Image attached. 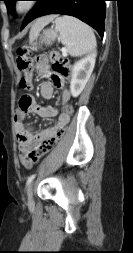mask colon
<instances>
[{
    "mask_svg": "<svg viewBox=\"0 0 133 253\" xmlns=\"http://www.w3.org/2000/svg\"><path fill=\"white\" fill-rule=\"evenodd\" d=\"M48 58V64L52 72L61 77L69 76L71 69L68 64V60L62 56L59 52L55 50H50L46 55ZM17 67L23 76L19 81V87L24 91H30L31 85V75L34 67V59L30 52L26 48H19L17 52ZM64 113L69 117L73 115L74 108L72 105L68 104L64 107ZM65 132V127L59 129L53 136L44 140L35 150L29 154V160L33 163L37 162L41 157L50 152L57 142L62 138Z\"/></svg>",
    "mask_w": 133,
    "mask_h": 253,
    "instance_id": "obj_1",
    "label": "colon"
}]
</instances>
